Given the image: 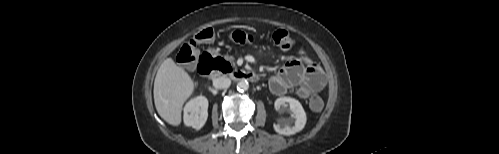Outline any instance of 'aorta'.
<instances>
[{"label":"aorta","instance_id":"obj_1","mask_svg":"<svg viewBox=\"0 0 499 154\" xmlns=\"http://www.w3.org/2000/svg\"><path fill=\"white\" fill-rule=\"evenodd\" d=\"M248 88H249V83L247 80L242 79L237 83V90L240 92L246 91L248 90Z\"/></svg>","mask_w":499,"mask_h":154}]
</instances>
